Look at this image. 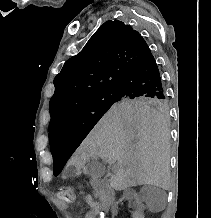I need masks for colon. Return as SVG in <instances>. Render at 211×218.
Returning <instances> with one entry per match:
<instances>
[{"instance_id":"colon-1","label":"colon","mask_w":211,"mask_h":218,"mask_svg":"<svg viewBox=\"0 0 211 218\" xmlns=\"http://www.w3.org/2000/svg\"><path fill=\"white\" fill-rule=\"evenodd\" d=\"M58 199L64 203V204H70L74 201L75 199V195L73 192V189L71 186L66 185V186H62L58 193H57Z\"/></svg>"}]
</instances>
